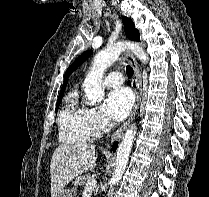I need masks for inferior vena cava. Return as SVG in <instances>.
Masks as SVG:
<instances>
[{
    "label": "inferior vena cava",
    "mask_w": 209,
    "mask_h": 197,
    "mask_svg": "<svg viewBox=\"0 0 209 197\" xmlns=\"http://www.w3.org/2000/svg\"><path fill=\"white\" fill-rule=\"evenodd\" d=\"M107 126H108V130H110L113 127V123L111 121H108Z\"/></svg>",
    "instance_id": "1"
}]
</instances>
